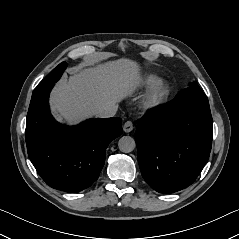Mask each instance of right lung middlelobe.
Wrapping results in <instances>:
<instances>
[{
  "mask_svg": "<svg viewBox=\"0 0 239 239\" xmlns=\"http://www.w3.org/2000/svg\"><path fill=\"white\" fill-rule=\"evenodd\" d=\"M66 67H67L66 62L60 63L39 83V85L34 89L33 94L45 88L49 84L57 82L60 79Z\"/></svg>",
  "mask_w": 239,
  "mask_h": 239,
  "instance_id": "1",
  "label": "right lung middle lobe"
}]
</instances>
